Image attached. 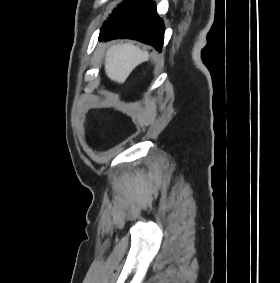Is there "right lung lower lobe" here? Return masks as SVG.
I'll return each instance as SVG.
<instances>
[{
    "mask_svg": "<svg viewBox=\"0 0 280 283\" xmlns=\"http://www.w3.org/2000/svg\"><path fill=\"white\" fill-rule=\"evenodd\" d=\"M101 40L134 39L161 51L164 42V23L151 1H141L118 14L101 29Z\"/></svg>",
    "mask_w": 280,
    "mask_h": 283,
    "instance_id": "obj_1",
    "label": "right lung lower lobe"
}]
</instances>
